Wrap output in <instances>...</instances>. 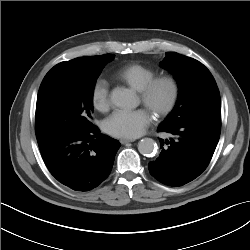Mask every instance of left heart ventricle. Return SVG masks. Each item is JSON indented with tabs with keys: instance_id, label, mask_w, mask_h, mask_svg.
<instances>
[{
	"instance_id": "left-heart-ventricle-1",
	"label": "left heart ventricle",
	"mask_w": 250,
	"mask_h": 250,
	"mask_svg": "<svg viewBox=\"0 0 250 250\" xmlns=\"http://www.w3.org/2000/svg\"><path fill=\"white\" fill-rule=\"evenodd\" d=\"M169 94L170 90L167 86L163 85L158 87L151 97L149 104L146 105L147 108L154 113L167 102Z\"/></svg>"
}]
</instances>
